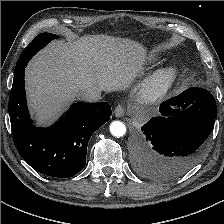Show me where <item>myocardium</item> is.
Returning <instances> with one entry per match:
<instances>
[{
	"mask_svg": "<svg viewBox=\"0 0 224 224\" xmlns=\"http://www.w3.org/2000/svg\"><path fill=\"white\" fill-rule=\"evenodd\" d=\"M178 78L174 67H164L153 72L139 87L138 99L146 104L161 100L173 87Z\"/></svg>",
	"mask_w": 224,
	"mask_h": 224,
	"instance_id": "1",
	"label": "myocardium"
}]
</instances>
